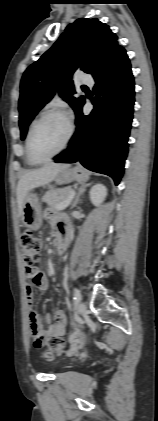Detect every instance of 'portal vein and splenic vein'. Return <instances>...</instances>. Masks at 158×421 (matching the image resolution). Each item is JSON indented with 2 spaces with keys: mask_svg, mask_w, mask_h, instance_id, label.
<instances>
[{
  "mask_svg": "<svg viewBox=\"0 0 158 421\" xmlns=\"http://www.w3.org/2000/svg\"><path fill=\"white\" fill-rule=\"evenodd\" d=\"M74 195H75V192L71 191L68 199L66 200V202L64 204L58 206L57 210H63L65 208H67L70 205L72 199L74 198Z\"/></svg>",
  "mask_w": 158,
  "mask_h": 421,
  "instance_id": "portal-vein-and-splenic-vein-1",
  "label": "portal vein and splenic vein"
}]
</instances>
